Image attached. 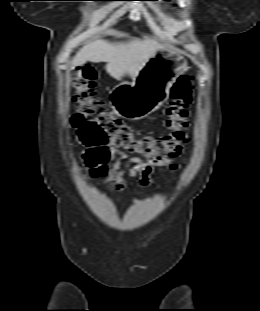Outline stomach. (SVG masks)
<instances>
[{
  "label": "stomach",
  "mask_w": 260,
  "mask_h": 311,
  "mask_svg": "<svg viewBox=\"0 0 260 311\" xmlns=\"http://www.w3.org/2000/svg\"><path fill=\"white\" fill-rule=\"evenodd\" d=\"M188 69L180 52L160 49L131 83L123 82L112 89L110 103L121 117L140 120L167 101L176 79Z\"/></svg>",
  "instance_id": "1"
}]
</instances>
